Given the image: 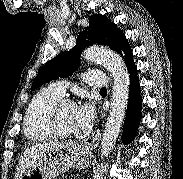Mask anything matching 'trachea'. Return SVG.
<instances>
[{"instance_id": "3493384b", "label": "trachea", "mask_w": 183, "mask_h": 179, "mask_svg": "<svg viewBox=\"0 0 183 179\" xmlns=\"http://www.w3.org/2000/svg\"><path fill=\"white\" fill-rule=\"evenodd\" d=\"M101 91H107L106 87L102 88Z\"/></svg>"}]
</instances>
